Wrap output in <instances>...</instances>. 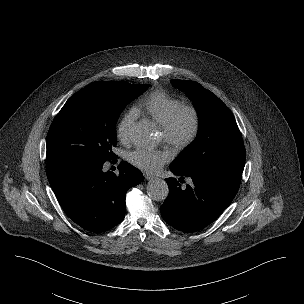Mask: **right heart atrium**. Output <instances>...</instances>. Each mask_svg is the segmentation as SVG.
Segmentation results:
<instances>
[{
	"label": "right heart atrium",
	"mask_w": 304,
	"mask_h": 304,
	"mask_svg": "<svg viewBox=\"0 0 304 304\" xmlns=\"http://www.w3.org/2000/svg\"><path fill=\"white\" fill-rule=\"evenodd\" d=\"M136 119L137 112L135 110H129L122 116L117 126V137L120 141L124 143L129 141Z\"/></svg>",
	"instance_id": "d8ad5b80"
}]
</instances>
